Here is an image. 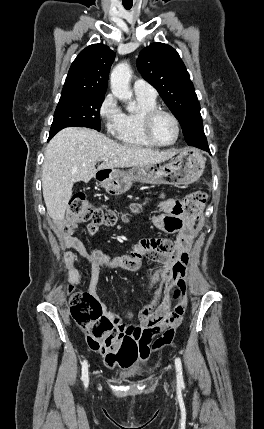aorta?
<instances>
[{
    "instance_id": "obj_1",
    "label": "aorta",
    "mask_w": 264,
    "mask_h": 429,
    "mask_svg": "<svg viewBox=\"0 0 264 429\" xmlns=\"http://www.w3.org/2000/svg\"><path fill=\"white\" fill-rule=\"evenodd\" d=\"M132 76L130 65L127 62L119 63L111 72L110 84L111 91L115 97L128 103L127 109L133 110L134 106L131 102L132 92L129 84Z\"/></svg>"
}]
</instances>
